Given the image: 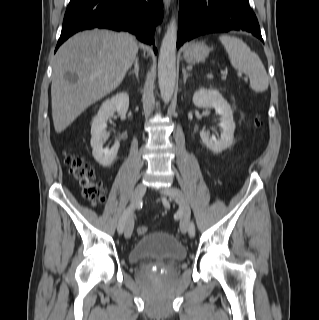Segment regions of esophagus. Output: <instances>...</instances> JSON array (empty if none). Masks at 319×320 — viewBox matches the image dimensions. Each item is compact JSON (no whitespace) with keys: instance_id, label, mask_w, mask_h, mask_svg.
I'll return each mask as SVG.
<instances>
[{"instance_id":"obj_1","label":"esophagus","mask_w":319,"mask_h":320,"mask_svg":"<svg viewBox=\"0 0 319 320\" xmlns=\"http://www.w3.org/2000/svg\"><path fill=\"white\" fill-rule=\"evenodd\" d=\"M163 1H164L165 8L168 11L170 4H171V0H163Z\"/></svg>"}]
</instances>
